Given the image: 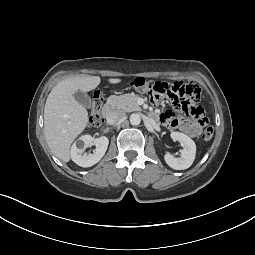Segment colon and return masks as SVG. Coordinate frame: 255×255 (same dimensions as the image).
Returning <instances> with one entry per match:
<instances>
[{"mask_svg": "<svg viewBox=\"0 0 255 255\" xmlns=\"http://www.w3.org/2000/svg\"><path fill=\"white\" fill-rule=\"evenodd\" d=\"M130 85L144 93H147L154 102L161 98H168L181 112L197 120L205 129L202 134L204 140H210L213 137L214 129L208 123L204 109L197 105L200 98V89L196 84L184 82H152L144 77L134 78ZM104 99L99 90L93 95L92 106L89 113V126L99 127L104 122L102 107Z\"/></svg>", "mask_w": 255, "mask_h": 255, "instance_id": "5ec220e1", "label": "colon"}]
</instances>
